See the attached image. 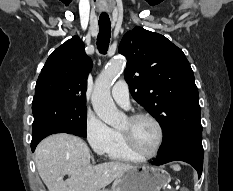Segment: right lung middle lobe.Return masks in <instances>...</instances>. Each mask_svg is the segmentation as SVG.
<instances>
[{"mask_svg": "<svg viewBox=\"0 0 233 191\" xmlns=\"http://www.w3.org/2000/svg\"><path fill=\"white\" fill-rule=\"evenodd\" d=\"M32 136L48 130L86 137V104H76L55 98L33 101Z\"/></svg>", "mask_w": 233, "mask_h": 191, "instance_id": "obj_1", "label": "right lung middle lobe"}]
</instances>
